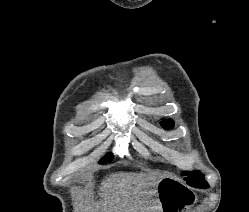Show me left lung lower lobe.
I'll return each mask as SVG.
<instances>
[{
    "instance_id": "1",
    "label": "left lung lower lobe",
    "mask_w": 249,
    "mask_h": 212,
    "mask_svg": "<svg viewBox=\"0 0 249 212\" xmlns=\"http://www.w3.org/2000/svg\"><path fill=\"white\" fill-rule=\"evenodd\" d=\"M209 186H205V187H199V188H208Z\"/></svg>"
}]
</instances>
